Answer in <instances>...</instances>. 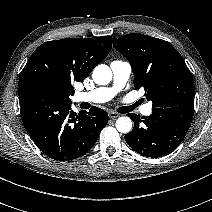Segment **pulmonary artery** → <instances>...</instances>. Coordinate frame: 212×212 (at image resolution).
<instances>
[{
	"instance_id": "1",
	"label": "pulmonary artery",
	"mask_w": 212,
	"mask_h": 212,
	"mask_svg": "<svg viewBox=\"0 0 212 212\" xmlns=\"http://www.w3.org/2000/svg\"><path fill=\"white\" fill-rule=\"evenodd\" d=\"M113 74V83L110 87H99L87 92L76 93L74 99L77 102L104 103L111 100L126 85L132 68L129 62L115 60L110 64ZM141 113L145 116L152 114V104L148 103L141 107Z\"/></svg>"
}]
</instances>
